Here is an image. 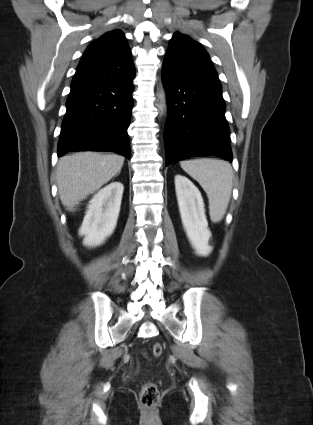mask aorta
Here are the masks:
<instances>
[{"label":"aorta","instance_id":"aorta-1","mask_svg":"<svg viewBox=\"0 0 313 425\" xmlns=\"http://www.w3.org/2000/svg\"><path fill=\"white\" fill-rule=\"evenodd\" d=\"M166 106V94L163 88L160 91V107L164 108Z\"/></svg>","mask_w":313,"mask_h":425}]
</instances>
